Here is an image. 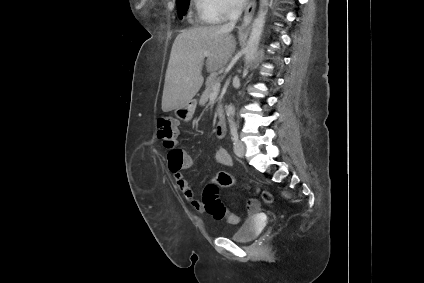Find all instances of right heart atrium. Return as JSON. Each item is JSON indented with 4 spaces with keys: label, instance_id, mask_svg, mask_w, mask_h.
Listing matches in <instances>:
<instances>
[{
    "label": "right heart atrium",
    "instance_id": "d8ad5b80",
    "mask_svg": "<svg viewBox=\"0 0 424 283\" xmlns=\"http://www.w3.org/2000/svg\"><path fill=\"white\" fill-rule=\"evenodd\" d=\"M200 17L203 20H224L234 15L239 7V0H195Z\"/></svg>",
    "mask_w": 424,
    "mask_h": 283
}]
</instances>
